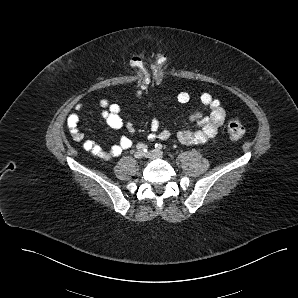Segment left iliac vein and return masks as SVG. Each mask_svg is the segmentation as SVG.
<instances>
[{"label":"left iliac vein","instance_id":"4c4485c4","mask_svg":"<svg viewBox=\"0 0 298 298\" xmlns=\"http://www.w3.org/2000/svg\"><path fill=\"white\" fill-rule=\"evenodd\" d=\"M145 155H146V157H149V158L160 159L163 157V152H161L159 150H152V151L146 153Z\"/></svg>","mask_w":298,"mask_h":298}]
</instances>
